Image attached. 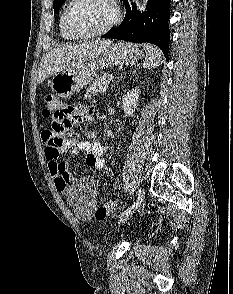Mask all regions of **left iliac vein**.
<instances>
[{"instance_id":"obj_1","label":"left iliac vein","mask_w":233,"mask_h":294,"mask_svg":"<svg viewBox=\"0 0 233 294\" xmlns=\"http://www.w3.org/2000/svg\"><path fill=\"white\" fill-rule=\"evenodd\" d=\"M135 209H132L130 212L123 214L120 217V219H119V224H122V223L126 222L132 216V214L134 213Z\"/></svg>"}]
</instances>
